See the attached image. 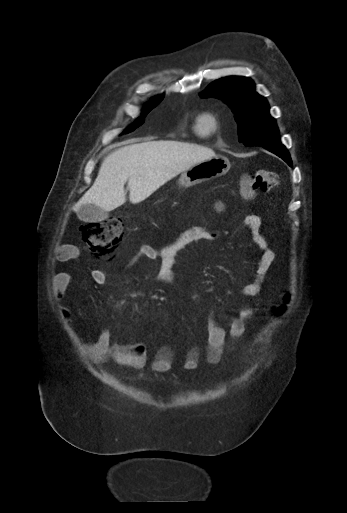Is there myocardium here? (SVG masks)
I'll return each instance as SVG.
<instances>
[{"instance_id": "myocardium-1", "label": "myocardium", "mask_w": 347, "mask_h": 513, "mask_svg": "<svg viewBox=\"0 0 347 513\" xmlns=\"http://www.w3.org/2000/svg\"><path fill=\"white\" fill-rule=\"evenodd\" d=\"M199 129L204 135L215 133L220 127V121L216 114L205 112L198 118Z\"/></svg>"}]
</instances>
